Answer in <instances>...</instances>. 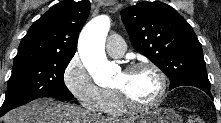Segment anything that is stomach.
I'll return each mask as SVG.
<instances>
[{"instance_id": "0dacf381", "label": "stomach", "mask_w": 221, "mask_h": 123, "mask_svg": "<svg viewBox=\"0 0 221 123\" xmlns=\"http://www.w3.org/2000/svg\"><path fill=\"white\" fill-rule=\"evenodd\" d=\"M132 123H182V120L173 109L160 107L137 115Z\"/></svg>"}]
</instances>
